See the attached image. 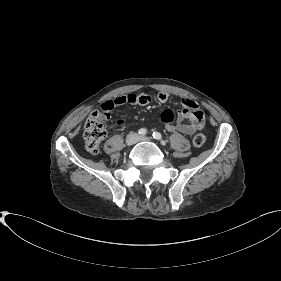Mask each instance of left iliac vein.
<instances>
[{"label": "left iliac vein", "instance_id": "4c4485c4", "mask_svg": "<svg viewBox=\"0 0 281 281\" xmlns=\"http://www.w3.org/2000/svg\"><path fill=\"white\" fill-rule=\"evenodd\" d=\"M137 141L138 142H141V141H151V138L150 137H138L137 138Z\"/></svg>", "mask_w": 281, "mask_h": 281}]
</instances>
